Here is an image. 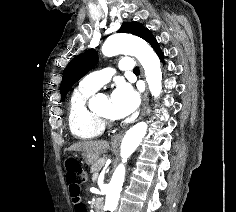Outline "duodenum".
I'll list each match as a JSON object with an SVG mask.
<instances>
[{
    "mask_svg": "<svg viewBox=\"0 0 236 212\" xmlns=\"http://www.w3.org/2000/svg\"><path fill=\"white\" fill-rule=\"evenodd\" d=\"M95 212H103V202L100 198L95 199Z\"/></svg>",
    "mask_w": 236,
    "mask_h": 212,
    "instance_id": "410a0bca",
    "label": "duodenum"
}]
</instances>
